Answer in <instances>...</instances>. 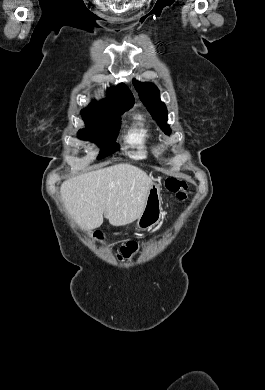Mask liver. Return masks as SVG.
Listing matches in <instances>:
<instances>
[{
  "mask_svg": "<svg viewBox=\"0 0 265 390\" xmlns=\"http://www.w3.org/2000/svg\"><path fill=\"white\" fill-rule=\"evenodd\" d=\"M152 180L142 169L122 163L70 178L60 193L81 228L100 227L103 214L111 225L124 226L141 215Z\"/></svg>",
  "mask_w": 265,
  "mask_h": 390,
  "instance_id": "6515ba94",
  "label": "liver"
}]
</instances>
